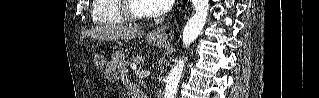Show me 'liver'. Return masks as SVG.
Instances as JSON below:
<instances>
[{
    "label": "liver",
    "mask_w": 319,
    "mask_h": 98,
    "mask_svg": "<svg viewBox=\"0 0 319 98\" xmlns=\"http://www.w3.org/2000/svg\"><path fill=\"white\" fill-rule=\"evenodd\" d=\"M141 35H143V32L138 29L116 25L101 26L85 33V36L90 38L108 41L131 39Z\"/></svg>",
    "instance_id": "obj_1"
}]
</instances>
